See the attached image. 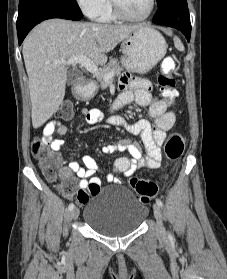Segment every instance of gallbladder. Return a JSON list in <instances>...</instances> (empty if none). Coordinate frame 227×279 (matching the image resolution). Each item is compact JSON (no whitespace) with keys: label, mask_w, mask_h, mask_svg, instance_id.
I'll return each mask as SVG.
<instances>
[{"label":"gallbladder","mask_w":227,"mask_h":279,"mask_svg":"<svg viewBox=\"0 0 227 279\" xmlns=\"http://www.w3.org/2000/svg\"><path fill=\"white\" fill-rule=\"evenodd\" d=\"M81 76V72L78 70H70L67 74V84H73L79 77Z\"/></svg>","instance_id":"1"}]
</instances>
